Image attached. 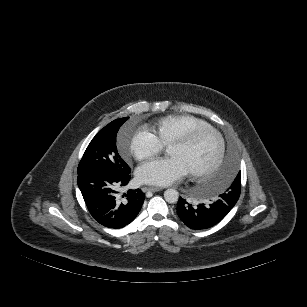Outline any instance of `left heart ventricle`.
<instances>
[{
	"label": "left heart ventricle",
	"mask_w": 307,
	"mask_h": 307,
	"mask_svg": "<svg viewBox=\"0 0 307 307\" xmlns=\"http://www.w3.org/2000/svg\"><path fill=\"white\" fill-rule=\"evenodd\" d=\"M218 151L217 138L204 134L190 146H171L168 153L178 157L189 170H200L210 166Z\"/></svg>",
	"instance_id": "left-heart-ventricle-1"
}]
</instances>
